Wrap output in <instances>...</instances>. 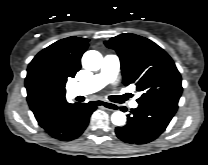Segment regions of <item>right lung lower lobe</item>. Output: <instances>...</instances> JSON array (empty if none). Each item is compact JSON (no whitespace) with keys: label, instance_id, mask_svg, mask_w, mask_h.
<instances>
[{"label":"right lung lower lobe","instance_id":"98d812e1","mask_svg":"<svg viewBox=\"0 0 208 165\" xmlns=\"http://www.w3.org/2000/svg\"><path fill=\"white\" fill-rule=\"evenodd\" d=\"M96 103H68L51 108L40 118L38 124L53 138L69 141L79 137L89 123Z\"/></svg>","mask_w":208,"mask_h":165}]
</instances>
